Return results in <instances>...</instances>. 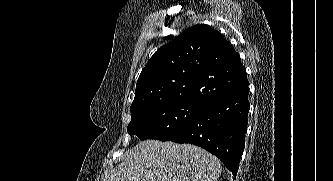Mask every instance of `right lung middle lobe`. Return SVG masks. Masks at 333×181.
<instances>
[{
    "label": "right lung middle lobe",
    "instance_id": "right-lung-middle-lobe-1",
    "mask_svg": "<svg viewBox=\"0 0 333 181\" xmlns=\"http://www.w3.org/2000/svg\"><path fill=\"white\" fill-rule=\"evenodd\" d=\"M203 104L188 101L163 102L131 112L127 131L141 140L167 141L184 130Z\"/></svg>",
    "mask_w": 333,
    "mask_h": 181
}]
</instances>
